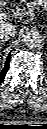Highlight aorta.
Wrapping results in <instances>:
<instances>
[{"mask_svg":"<svg viewBox=\"0 0 47 129\" xmlns=\"http://www.w3.org/2000/svg\"><path fill=\"white\" fill-rule=\"evenodd\" d=\"M22 41L28 48H40L44 44V37L38 30L29 29L24 32Z\"/></svg>","mask_w":47,"mask_h":129,"instance_id":"1","label":"aorta"}]
</instances>
